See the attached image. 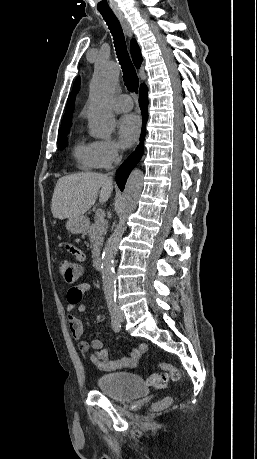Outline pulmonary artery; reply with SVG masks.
I'll list each match as a JSON object with an SVG mask.
<instances>
[{"instance_id":"e3ab8cb5","label":"pulmonary artery","mask_w":257,"mask_h":459,"mask_svg":"<svg viewBox=\"0 0 257 459\" xmlns=\"http://www.w3.org/2000/svg\"><path fill=\"white\" fill-rule=\"evenodd\" d=\"M132 106H133V102L131 98L126 94L119 95L115 97L112 101V107L117 112L128 111L132 108Z\"/></svg>"}]
</instances>
